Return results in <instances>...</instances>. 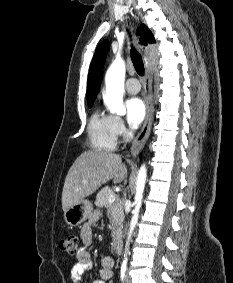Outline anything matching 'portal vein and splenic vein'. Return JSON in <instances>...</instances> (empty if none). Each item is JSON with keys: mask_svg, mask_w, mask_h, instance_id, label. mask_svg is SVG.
<instances>
[{"mask_svg": "<svg viewBox=\"0 0 233 283\" xmlns=\"http://www.w3.org/2000/svg\"><path fill=\"white\" fill-rule=\"evenodd\" d=\"M115 200H118V197L115 196V195H110L109 198H108V201H109L110 203L114 202Z\"/></svg>", "mask_w": 233, "mask_h": 283, "instance_id": "obj_1", "label": "portal vein and splenic vein"}]
</instances>
